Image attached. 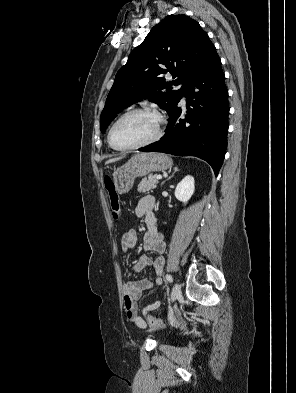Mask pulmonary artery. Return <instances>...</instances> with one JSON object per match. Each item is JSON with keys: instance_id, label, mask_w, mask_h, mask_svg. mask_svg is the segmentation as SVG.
I'll return each instance as SVG.
<instances>
[{"instance_id": "e3ab8cb5", "label": "pulmonary artery", "mask_w": 296, "mask_h": 393, "mask_svg": "<svg viewBox=\"0 0 296 393\" xmlns=\"http://www.w3.org/2000/svg\"><path fill=\"white\" fill-rule=\"evenodd\" d=\"M182 86V84L180 85V87ZM183 102H185V97H183V100H182Z\"/></svg>"}]
</instances>
